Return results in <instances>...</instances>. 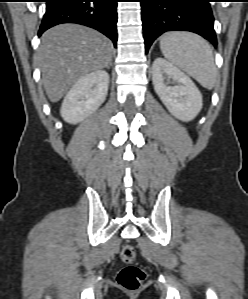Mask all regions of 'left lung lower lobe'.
<instances>
[{
    "instance_id": "0a47b994",
    "label": "left lung lower lobe",
    "mask_w": 248,
    "mask_h": 299,
    "mask_svg": "<svg viewBox=\"0 0 248 299\" xmlns=\"http://www.w3.org/2000/svg\"><path fill=\"white\" fill-rule=\"evenodd\" d=\"M209 2L210 0H140L146 52L158 36L173 30L197 33L216 47L214 18Z\"/></svg>"
}]
</instances>
